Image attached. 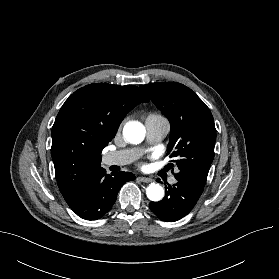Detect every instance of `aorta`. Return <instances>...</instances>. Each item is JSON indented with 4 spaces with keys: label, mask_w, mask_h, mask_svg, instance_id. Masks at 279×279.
Masks as SVG:
<instances>
[{
    "label": "aorta",
    "mask_w": 279,
    "mask_h": 279,
    "mask_svg": "<svg viewBox=\"0 0 279 279\" xmlns=\"http://www.w3.org/2000/svg\"><path fill=\"white\" fill-rule=\"evenodd\" d=\"M145 127L137 121H130L123 128L125 139L132 144H139L145 138ZM147 197L151 201H159L164 196V189L161 185L151 183L146 189Z\"/></svg>",
    "instance_id": "1"
}]
</instances>
